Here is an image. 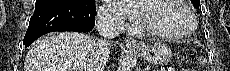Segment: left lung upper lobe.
I'll return each mask as SVG.
<instances>
[{"label": "left lung upper lobe", "instance_id": "left-lung-upper-lobe-1", "mask_svg": "<svg viewBox=\"0 0 230 71\" xmlns=\"http://www.w3.org/2000/svg\"><path fill=\"white\" fill-rule=\"evenodd\" d=\"M191 1H192V3H193V5H194L195 8H198V7H199V5H200V0H191Z\"/></svg>", "mask_w": 230, "mask_h": 71}]
</instances>
